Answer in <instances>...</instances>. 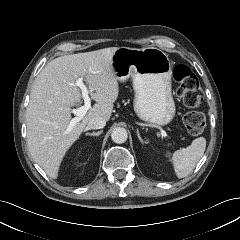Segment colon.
Returning a JSON list of instances; mask_svg holds the SVG:
<instances>
[{"instance_id": "1", "label": "colon", "mask_w": 240, "mask_h": 240, "mask_svg": "<svg viewBox=\"0 0 240 240\" xmlns=\"http://www.w3.org/2000/svg\"><path fill=\"white\" fill-rule=\"evenodd\" d=\"M173 79L178 84L177 96L187 107L202 104L204 96L199 81L192 70L185 65H177L173 69ZM184 125L191 135H200L206 128L204 115L197 111L188 112L184 116Z\"/></svg>"}]
</instances>
